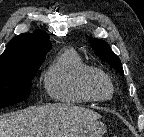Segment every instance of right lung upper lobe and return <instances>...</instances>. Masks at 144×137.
I'll use <instances>...</instances> for the list:
<instances>
[{"label": "right lung upper lobe", "instance_id": "1", "mask_svg": "<svg viewBox=\"0 0 144 137\" xmlns=\"http://www.w3.org/2000/svg\"><path fill=\"white\" fill-rule=\"evenodd\" d=\"M48 34L36 31L33 34H21L13 38L0 56V66L16 63L42 61L51 49Z\"/></svg>", "mask_w": 144, "mask_h": 137}]
</instances>
